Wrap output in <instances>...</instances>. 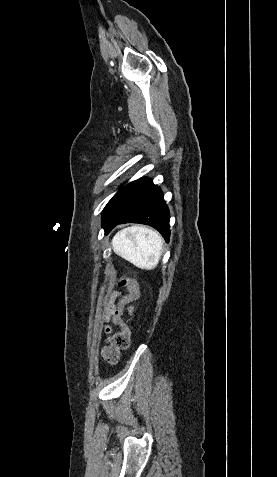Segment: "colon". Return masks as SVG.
Masks as SVG:
<instances>
[{"instance_id":"5ec220e1","label":"colon","mask_w":277,"mask_h":477,"mask_svg":"<svg viewBox=\"0 0 277 477\" xmlns=\"http://www.w3.org/2000/svg\"><path fill=\"white\" fill-rule=\"evenodd\" d=\"M119 284L128 286V292L122 300L117 301L116 309L112 312L111 323L114 326H121V329L112 335L110 344L103 348L102 357L108 364H115L119 359L120 352L126 350L130 344V329L123 323L122 313L127 311L130 302L138 304L141 301L142 291L136 280L132 277H122ZM130 299V300H129Z\"/></svg>"}]
</instances>
